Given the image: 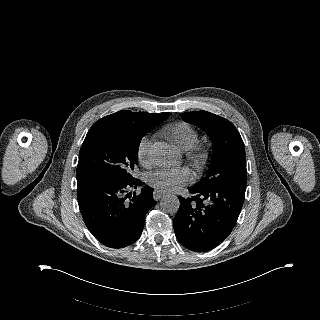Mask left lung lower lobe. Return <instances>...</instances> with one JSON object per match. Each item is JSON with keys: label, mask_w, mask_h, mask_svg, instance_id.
Here are the masks:
<instances>
[{"label": "left lung lower lobe", "mask_w": 320, "mask_h": 320, "mask_svg": "<svg viewBox=\"0 0 320 320\" xmlns=\"http://www.w3.org/2000/svg\"><path fill=\"white\" fill-rule=\"evenodd\" d=\"M245 190L246 183L231 180L208 189L192 186V197L179 196L180 207L173 224L181 245L205 252L222 243L237 222Z\"/></svg>", "instance_id": "left-lung-lower-lobe-1"}]
</instances>
